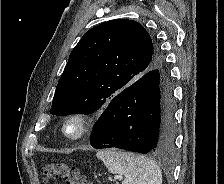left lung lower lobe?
Returning a JSON list of instances; mask_svg holds the SVG:
<instances>
[{
  "instance_id": "0a47b994",
  "label": "left lung lower lobe",
  "mask_w": 224,
  "mask_h": 184,
  "mask_svg": "<svg viewBox=\"0 0 224 184\" xmlns=\"http://www.w3.org/2000/svg\"><path fill=\"white\" fill-rule=\"evenodd\" d=\"M173 97L164 69H153L117 94L94 126L90 144L142 154L170 151L174 143Z\"/></svg>"
}]
</instances>
